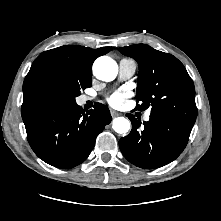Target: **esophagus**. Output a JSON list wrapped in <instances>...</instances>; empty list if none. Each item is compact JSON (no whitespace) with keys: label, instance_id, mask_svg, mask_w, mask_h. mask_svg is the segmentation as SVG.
Here are the masks:
<instances>
[{"label":"esophagus","instance_id":"34e87169","mask_svg":"<svg viewBox=\"0 0 221 221\" xmlns=\"http://www.w3.org/2000/svg\"><path fill=\"white\" fill-rule=\"evenodd\" d=\"M118 115H120L119 112L114 111V110H111V116H112V117H116V116H118Z\"/></svg>","mask_w":221,"mask_h":221}]
</instances>
